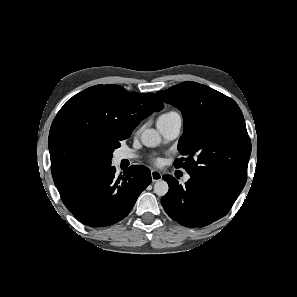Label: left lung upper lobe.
<instances>
[{"instance_id": "1", "label": "left lung upper lobe", "mask_w": 297, "mask_h": 297, "mask_svg": "<svg viewBox=\"0 0 297 297\" xmlns=\"http://www.w3.org/2000/svg\"><path fill=\"white\" fill-rule=\"evenodd\" d=\"M157 95L181 110L184 133L175 167L237 199L247 180L251 153L243 114L224 94L196 82H183ZM185 161V162H183Z\"/></svg>"}]
</instances>
